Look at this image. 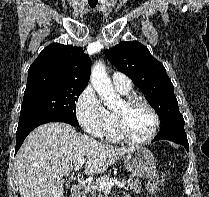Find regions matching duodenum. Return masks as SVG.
Here are the masks:
<instances>
[{
  "instance_id": "1",
  "label": "duodenum",
  "mask_w": 209,
  "mask_h": 197,
  "mask_svg": "<svg viewBox=\"0 0 209 197\" xmlns=\"http://www.w3.org/2000/svg\"><path fill=\"white\" fill-rule=\"evenodd\" d=\"M84 193L85 190L81 185H75L71 190V197H82Z\"/></svg>"
}]
</instances>
